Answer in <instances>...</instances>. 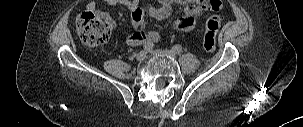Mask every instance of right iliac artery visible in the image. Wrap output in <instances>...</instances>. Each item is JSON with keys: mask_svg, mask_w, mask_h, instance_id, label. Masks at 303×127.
<instances>
[{"mask_svg": "<svg viewBox=\"0 0 303 127\" xmlns=\"http://www.w3.org/2000/svg\"><path fill=\"white\" fill-rule=\"evenodd\" d=\"M154 48V44L153 43H145L144 45H143V49H144V51H146V52H149V51H151L152 49Z\"/></svg>", "mask_w": 303, "mask_h": 127, "instance_id": "82829eb1", "label": "right iliac artery"}]
</instances>
